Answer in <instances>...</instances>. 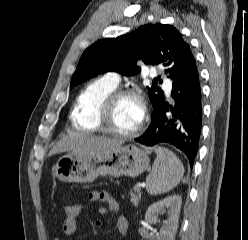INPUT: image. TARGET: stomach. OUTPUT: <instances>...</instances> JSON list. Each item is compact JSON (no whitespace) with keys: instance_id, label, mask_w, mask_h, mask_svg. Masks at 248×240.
<instances>
[{"instance_id":"stomach-1","label":"stomach","mask_w":248,"mask_h":240,"mask_svg":"<svg viewBox=\"0 0 248 240\" xmlns=\"http://www.w3.org/2000/svg\"><path fill=\"white\" fill-rule=\"evenodd\" d=\"M149 163L146 151L129 144L93 153H68L59 158L54 174L63 182L89 183L99 175L136 177Z\"/></svg>"}]
</instances>
